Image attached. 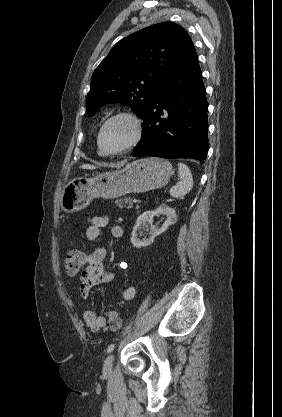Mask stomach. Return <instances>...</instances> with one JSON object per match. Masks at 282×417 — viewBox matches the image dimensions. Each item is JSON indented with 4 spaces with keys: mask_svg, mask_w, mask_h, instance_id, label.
<instances>
[{
    "mask_svg": "<svg viewBox=\"0 0 282 417\" xmlns=\"http://www.w3.org/2000/svg\"><path fill=\"white\" fill-rule=\"evenodd\" d=\"M173 174L172 164L164 158L149 156L128 162L120 170L101 172L92 178L78 176L65 186L61 206L66 213H76L88 206L92 198H118L127 192H146L167 184Z\"/></svg>",
    "mask_w": 282,
    "mask_h": 417,
    "instance_id": "obj_1",
    "label": "stomach"
}]
</instances>
